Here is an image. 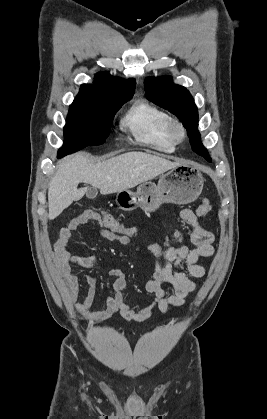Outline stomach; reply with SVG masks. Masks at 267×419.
I'll use <instances>...</instances> for the list:
<instances>
[{"instance_id": "1", "label": "stomach", "mask_w": 267, "mask_h": 419, "mask_svg": "<svg viewBox=\"0 0 267 419\" xmlns=\"http://www.w3.org/2000/svg\"><path fill=\"white\" fill-rule=\"evenodd\" d=\"M204 178L200 170L192 164H179L159 178L158 184L151 181L141 183L136 192L119 191L116 202L123 211L140 207L153 212L163 203L188 204L202 192Z\"/></svg>"}]
</instances>
